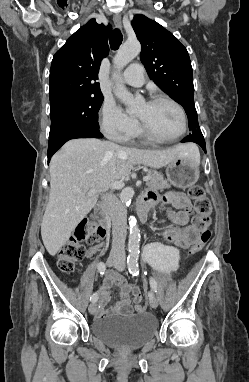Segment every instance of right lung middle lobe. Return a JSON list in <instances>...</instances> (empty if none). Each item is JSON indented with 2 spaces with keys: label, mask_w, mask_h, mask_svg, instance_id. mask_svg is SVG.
<instances>
[{
  "label": "right lung middle lobe",
  "mask_w": 249,
  "mask_h": 382,
  "mask_svg": "<svg viewBox=\"0 0 249 382\" xmlns=\"http://www.w3.org/2000/svg\"><path fill=\"white\" fill-rule=\"evenodd\" d=\"M103 95L69 98L50 104L51 128L49 137L64 131L89 127L98 128V111Z\"/></svg>",
  "instance_id": "obj_1"
}]
</instances>
